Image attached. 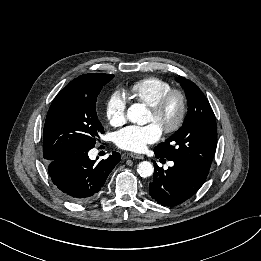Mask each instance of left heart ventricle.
I'll return each mask as SVG.
<instances>
[{"label":"left heart ventricle","instance_id":"1","mask_svg":"<svg viewBox=\"0 0 261 261\" xmlns=\"http://www.w3.org/2000/svg\"><path fill=\"white\" fill-rule=\"evenodd\" d=\"M177 113H178V103L177 101H173L169 105L165 113L158 119L155 118L149 111L147 114L146 123H154L161 129L163 126L171 124L175 120Z\"/></svg>","mask_w":261,"mask_h":261}]
</instances>
